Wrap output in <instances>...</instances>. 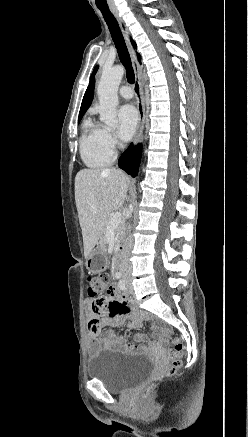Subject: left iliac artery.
Instances as JSON below:
<instances>
[{"label":"left iliac artery","instance_id":"left-iliac-artery-1","mask_svg":"<svg viewBox=\"0 0 248 437\" xmlns=\"http://www.w3.org/2000/svg\"><path fill=\"white\" fill-rule=\"evenodd\" d=\"M119 287H120V289H121V290H125V289H126V287H125V284H124V281H123V280H120V282H119Z\"/></svg>","mask_w":248,"mask_h":437}]
</instances>
